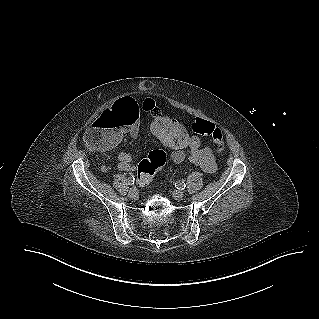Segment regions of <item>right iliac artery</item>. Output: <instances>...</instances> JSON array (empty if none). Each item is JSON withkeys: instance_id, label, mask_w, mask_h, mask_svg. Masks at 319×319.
I'll return each instance as SVG.
<instances>
[{"instance_id": "right-iliac-artery-1", "label": "right iliac artery", "mask_w": 319, "mask_h": 319, "mask_svg": "<svg viewBox=\"0 0 319 319\" xmlns=\"http://www.w3.org/2000/svg\"><path fill=\"white\" fill-rule=\"evenodd\" d=\"M134 181H135L134 176H133V175L130 176L129 179H128L129 184H130V185H133V184H134Z\"/></svg>"}]
</instances>
